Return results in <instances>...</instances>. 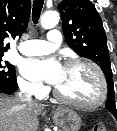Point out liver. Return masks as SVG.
<instances>
[{"label": "liver", "instance_id": "obj_1", "mask_svg": "<svg viewBox=\"0 0 117 131\" xmlns=\"http://www.w3.org/2000/svg\"><path fill=\"white\" fill-rule=\"evenodd\" d=\"M43 109L0 94V131H37Z\"/></svg>", "mask_w": 117, "mask_h": 131}]
</instances>
